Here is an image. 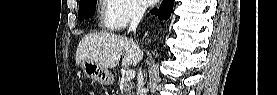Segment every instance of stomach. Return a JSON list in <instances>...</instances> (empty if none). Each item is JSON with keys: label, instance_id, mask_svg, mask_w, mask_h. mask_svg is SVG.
<instances>
[{"label": "stomach", "instance_id": "obj_1", "mask_svg": "<svg viewBox=\"0 0 277 95\" xmlns=\"http://www.w3.org/2000/svg\"><path fill=\"white\" fill-rule=\"evenodd\" d=\"M84 75L102 85H110L113 83V75L108 70L100 66L94 61L83 60L80 62Z\"/></svg>", "mask_w": 277, "mask_h": 95}]
</instances>
